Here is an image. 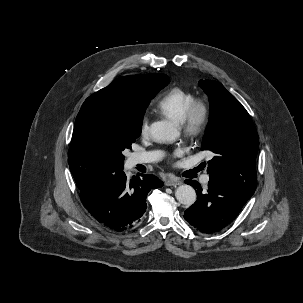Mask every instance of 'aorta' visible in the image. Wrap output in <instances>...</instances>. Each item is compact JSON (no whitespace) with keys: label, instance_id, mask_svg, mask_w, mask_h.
<instances>
[{"label":"aorta","instance_id":"762f6f07","mask_svg":"<svg viewBox=\"0 0 303 303\" xmlns=\"http://www.w3.org/2000/svg\"><path fill=\"white\" fill-rule=\"evenodd\" d=\"M151 136L158 142H173L179 135L175 126L168 121H157L150 126ZM175 197L180 204L191 206L196 201V192L190 185H180L175 191Z\"/></svg>","mask_w":303,"mask_h":303}]
</instances>
